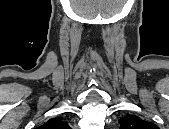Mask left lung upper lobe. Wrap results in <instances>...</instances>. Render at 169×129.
Returning a JSON list of instances; mask_svg holds the SVG:
<instances>
[{
  "label": "left lung upper lobe",
  "mask_w": 169,
  "mask_h": 129,
  "mask_svg": "<svg viewBox=\"0 0 169 129\" xmlns=\"http://www.w3.org/2000/svg\"><path fill=\"white\" fill-rule=\"evenodd\" d=\"M120 129H158L157 125L140 119L135 115H128L119 120Z\"/></svg>",
  "instance_id": "left-lung-upper-lobe-1"
}]
</instances>
